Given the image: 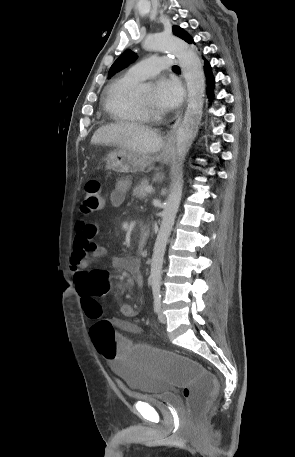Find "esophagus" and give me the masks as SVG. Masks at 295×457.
Wrapping results in <instances>:
<instances>
[{
  "mask_svg": "<svg viewBox=\"0 0 295 457\" xmlns=\"http://www.w3.org/2000/svg\"><path fill=\"white\" fill-rule=\"evenodd\" d=\"M182 119V112L176 117L175 123L167 135V141L165 145V152H171L173 147L174 138L177 134L178 127Z\"/></svg>",
  "mask_w": 295,
  "mask_h": 457,
  "instance_id": "34e87169",
  "label": "esophagus"
}]
</instances>
